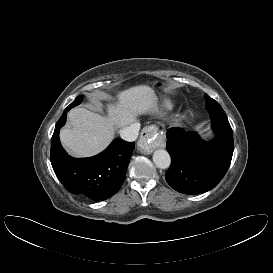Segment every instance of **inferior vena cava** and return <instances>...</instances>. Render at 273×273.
Listing matches in <instances>:
<instances>
[{"mask_svg":"<svg viewBox=\"0 0 273 273\" xmlns=\"http://www.w3.org/2000/svg\"><path fill=\"white\" fill-rule=\"evenodd\" d=\"M140 130V123L134 122L129 126L123 127L120 129V136L122 139L126 141H135L138 137V133Z\"/></svg>","mask_w":273,"mask_h":273,"instance_id":"1","label":"inferior vena cava"}]
</instances>
